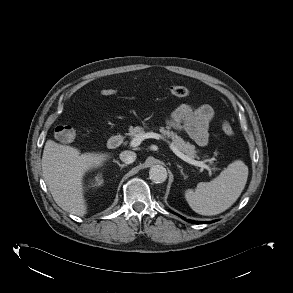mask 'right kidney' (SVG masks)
Masks as SVG:
<instances>
[{
  "instance_id": "ca27d5eb",
  "label": "right kidney",
  "mask_w": 293,
  "mask_h": 293,
  "mask_svg": "<svg viewBox=\"0 0 293 293\" xmlns=\"http://www.w3.org/2000/svg\"><path fill=\"white\" fill-rule=\"evenodd\" d=\"M102 183H103V180L101 179V177H97L95 185L100 186Z\"/></svg>"
}]
</instances>
